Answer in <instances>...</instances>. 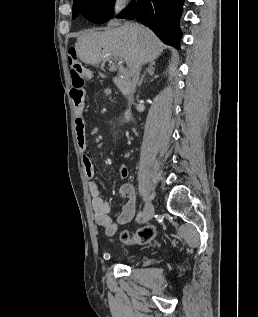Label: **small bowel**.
I'll return each mask as SVG.
<instances>
[{
	"label": "small bowel",
	"mask_w": 258,
	"mask_h": 317,
	"mask_svg": "<svg viewBox=\"0 0 258 317\" xmlns=\"http://www.w3.org/2000/svg\"><path fill=\"white\" fill-rule=\"evenodd\" d=\"M75 133L77 144L83 155V167L86 177L90 180L88 189L91 196V207L94 213V219L98 226L105 230L107 236H114L117 233L118 226L129 223L135 215V193L133 185L125 182L119 189L120 196L126 200L122 206L118 216L113 219L110 216V204L105 201L99 189L97 182L92 179L95 176V169L91 158L86 154L87 141V120L85 117V109L78 110L75 117ZM119 177L124 179L129 177V170L126 165L119 168Z\"/></svg>",
	"instance_id": "small-bowel-1"
}]
</instances>
